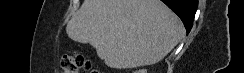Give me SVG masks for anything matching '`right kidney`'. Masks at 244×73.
Instances as JSON below:
<instances>
[{
	"instance_id": "1",
	"label": "right kidney",
	"mask_w": 244,
	"mask_h": 73,
	"mask_svg": "<svg viewBox=\"0 0 244 73\" xmlns=\"http://www.w3.org/2000/svg\"><path fill=\"white\" fill-rule=\"evenodd\" d=\"M135 73H147L146 69H139L138 71H135Z\"/></svg>"
}]
</instances>
